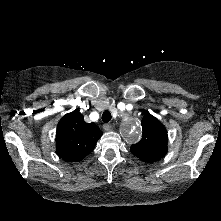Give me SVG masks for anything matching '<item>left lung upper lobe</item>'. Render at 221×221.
Here are the masks:
<instances>
[{"label":"left lung upper lobe","mask_w":221,"mask_h":221,"mask_svg":"<svg viewBox=\"0 0 221 221\" xmlns=\"http://www.w3.org/2000/svg\"><path fill=\"white\" fill-rule=\"evenodd\" d=\"M142 139L131 146V152L144 162H155L167 153L168 136L162 123L146 113L142 121Z\"/></svg>","instance_id":"left-lung-upper-lobe-1"}]
</instances>
